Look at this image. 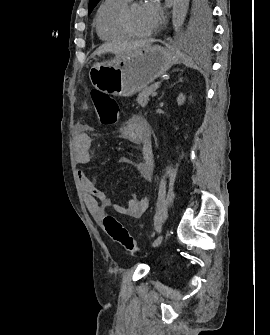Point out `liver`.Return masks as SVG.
<instances>
[{
	"label": "liver",
	"instance_id": "liver-1",
	"mask_svg": "<svg viewBox=\"0 0 270 335\" xmlns=\"http://www.w3.org/2000/svg\"><path fill=\"white\" fill-rule=\"evenodd\" d=\"M148 42H126V44H122V48H118L119 54H127V52H132V50H141V48H145ZM113 46L110 44H102L100 48H97L95 52H93V56H100V54H106V52H112Z\"/></svg>",
	"mask_w": 270,
	"mask_h": 335
}]
</instances>
